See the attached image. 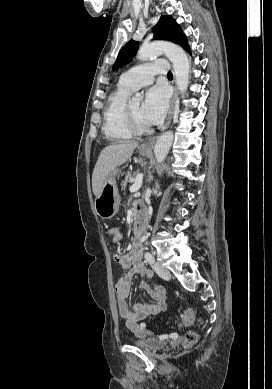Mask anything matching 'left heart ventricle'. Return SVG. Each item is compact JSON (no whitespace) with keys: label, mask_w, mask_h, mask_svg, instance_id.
Instances as JSON below:
<instances>
[{"label":"left heart ventricle","mask_w":272,"mask_h":389,"mask_svg":"<svg viewBox=\"0 0 272 389\" xmlns=\"http://www.w3.org/2000/svg\"><path fill=\"white\" fill-rule=\"evenodd\" d=\"M130 107L138 123L142 126H148V124L145 122L142 116V103L141 102L131 103Z\"/></svg>","instance_id":"b2bd125f"}]
</instances>
